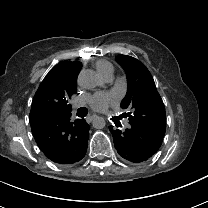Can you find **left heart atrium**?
I'll return each instance as SVG.
<instances>
[{"mask_svg":"<svg viewBox=\"0 0 208 208\" xmlns=\"http://www.w3.org/2000/svg\"><path fill=\"white\" fill-rule=\"evenodd\" d=\"M88 103L95 111H105L109 106V98L105 95H93L88 99Z\"/></svg>","mask_w":208,"mask_h":208,"instance_id":"left-heart-atrium-1","label":"left heart atrium"}]
</instances>
